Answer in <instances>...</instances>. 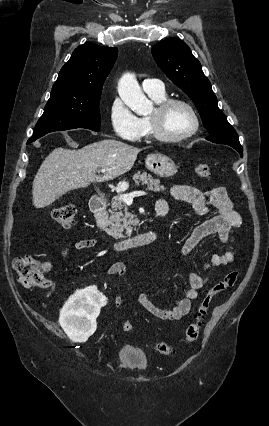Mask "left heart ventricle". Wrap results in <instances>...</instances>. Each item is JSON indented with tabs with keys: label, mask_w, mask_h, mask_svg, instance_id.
<instances>
[{
	"label": "left heart ventricle",
	"mask_w": 269,
	"mask_h": 426,
	"mask_svg": "<svg viewBox=\"0 0 269 426\" xmlns=\"http://www.w3.org/2000/svg\"><path fill=\"white\" fill-rule=\"evenodd\" d=\"M153 111L150 113V115ZM194 126V119L191 112L182 105L173 106L167 113L163 121V128L166 134L177 136L187 133Z\"/></svg>",
	"instance_id": "1"
}]
</instances>
